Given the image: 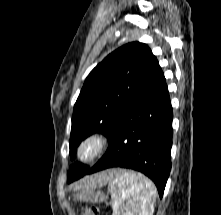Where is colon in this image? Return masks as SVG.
Here are the masks:
<instances>
[{"label":"colon","instance_id":"obj_1","mask_svg":"<svg viewBox=\"0 0 221 215\" xmlns=\"http://www.w3.org/2000/svg\"><path fill=\"white\" fill-rule=\"evenodd\" d=\"M82 215H100V212L96 208H85Z\"/></svg>","mask_w":221,"mask_h":215}]
</instances>
